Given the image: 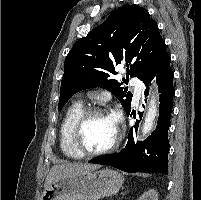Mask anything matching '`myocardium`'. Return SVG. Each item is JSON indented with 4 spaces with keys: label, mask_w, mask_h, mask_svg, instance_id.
<instances>
[{
    "label": "myocardium",
    "mask_w": 201,
    "mask_h": 200,
    "mask_svg": "<svg viewBox=\"0 0 201 200\" xmlns=\"http://www.w3.org/2000/svg\"><path fill=\"white\" fill-rule=\"evenodd\" d=\"M95 115H109V116H111L112 114H110V112L106 108L101 107V106L87 107L82 111V113L76 119V121L72 127V130H71L72 146L83 157L84 156H89V157L100 156V155L110 153V152L114 151L120 143L121 134H120L119 129H117V133H116L114 140L107 147L100 149V150H95V151L88 150L85 147H83L82 141H81L82 129H83L85 123L92 116H95Z\"/></svg>",
    "instance_id": "myocardium-1"
}]
</instances>
